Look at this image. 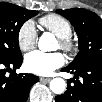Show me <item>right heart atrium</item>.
<instances>
[{
	"label": "right heart atrium",
	"mask_w": 102,
	"mask_h": 102,
	"mask_svg": "<svg viewBox=\"0 0 102 102\" xmlns=\"http://www.w3.org/2000/svg\"><path fill=\"white\" fill-rule=\"evenodd\" d=\"M17 41L19 47L24 51L31 50L36 45L37 30L32 20H27L20 26Z\"/></svg>",
	"instance_id": "1"
}]
</instances>
